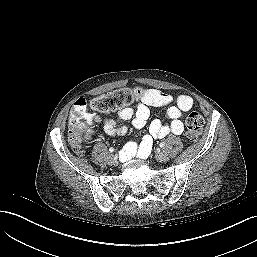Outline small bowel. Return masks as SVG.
Here are the masks:
<instances>
[{
    "label": "small bowel",
    "instance_id": "small-bowel-1",
    "mask_svg": "<svg viewBox=\"0 0 257 257\" xmlns=\"http://www.w3.org/2000/svg\"><path fill=\"white\" fill-rule=\"evenodd\" d=\"M192 105V98L186 94L172 96L157 89H147L144 91L136 109L124 108L115 118L103 117L92 113H86V116L89 123H103L107 134L121 136L127 132V127L119 125L120 122L132 120V124L136 129H142L149 118L150 107L167 108L165 118L168 123H163L159 119L153 120L149 125L148 134L139 145L135 142H130L124 147L121 158L126 160L135 154L140 158L146 157L152 147L153 139L164 138L171 134L180 135L184 130L183 119L185 114L192 108Z\"/></svg>",
    "mask_w": 257,
    "mask_h": 257
}]
</instances>
